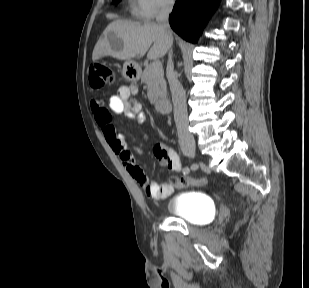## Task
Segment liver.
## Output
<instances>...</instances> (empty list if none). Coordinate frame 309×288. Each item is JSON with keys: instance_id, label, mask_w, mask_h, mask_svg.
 I'll list each match as a JSON object with an SVG mask.
<instances>
[{"instance_id": "liver-1", "label": "liver", "mask_w": 309, "mask_h": 288, "mask_svg": "<svg viewBox=\"0 0 309 288\" xmlns=\"http://www.w3.org/2000/svg\"><path fill=\"white\" fill-rule=\"evenodd\" d=\"M110 35L121 39L123 45L120 50L112 47L109 40ZM168 49V39L159 24L153 22L141 24L119 19L111 22L104 30L94 47L92 60L96 61L103 56L131 60L143 57L148 50L147 57L157 59L163 57Z\"/></svg>"}]
</instances>
